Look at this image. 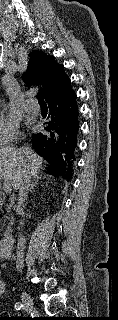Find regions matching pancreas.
I'll use <instances>...</instances> for the list:
<instances>
[{
    "mask_svg": "<svg viewBox=\"0 0 118 320\" xmlns=\"http://www.w3.org/2000/svg\"><path fill=\"white\" fill-rule=\"evenodd\" d=\"M9 231V227H8V230H6V232H8Z\"/></svg>",
    "mask_w": 118,
    "mask_h": 320,
    "instance_id": "pancreas-1",
    "label": "pancreas"
}]
</instances>
